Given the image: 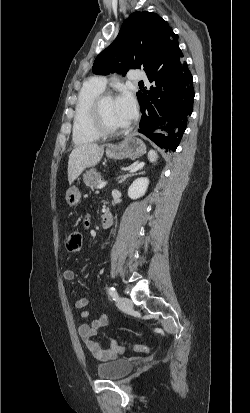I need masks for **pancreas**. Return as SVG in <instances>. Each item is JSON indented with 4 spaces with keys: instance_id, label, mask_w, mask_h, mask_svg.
<instances>
[{
    "instance_id": "pancreas-1",
    "label": "pancreas",
    "mask_w": 250,
    "mask_h": 413,
    "mask_svg": "<svg viewBox=\"0 0 250 413\" xmlns=\"http://www.w3.org/2000/svg\"><path fill=\"white\" fill-rule=\"evenodd\" d=\"M101 175L100 173L92 168L90 170H87L85 174L83 175V181L86 184L87 187L91 189H95L100 182Z\"/></svg>"
}]
</instances>
